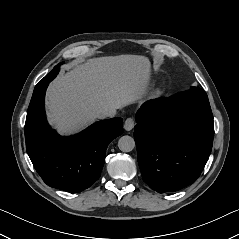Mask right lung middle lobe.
<instances>
[{
	"label": "right lung middle lobe",
	"instance_id": "dd1d6c3e",
	"mask_svg": "<svg viewBox=\"0 0 239 239\" xmlns=\"http://www.w3.org/2000/svg\"><path fill=\"white\" fill-rule=\"evenodd\" d=\"M63 63H64V62H61V63H59L58 65H56V66L53 68V70H52L48 75H46V76L36 85V87L40 86V85H41L44 81H46L47 79L53 80V79L56 77V75L58 74V72H59L60 65L63 64Z\"/></svg>",
	"mask_w": 239,
	"mask_h": 239
}]
</instances>
